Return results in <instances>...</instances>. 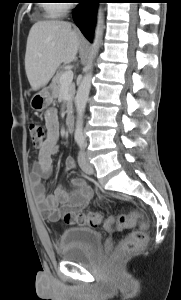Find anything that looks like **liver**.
I'll return each instance as SVG.
<instances>
[{
  "label": "liver",
  "instance_id": "6515ba94",
  "mask_svg": "<svg viewBox=\"0 0 181 300\" xmlns=\"http://www.w3.org/2000/svg\"><path fill=\"white\" fill-rule=\"evenodd\" d=\"M80 47L78 33L68 22L38 21L30 29L25 71L33 90L44 87L64 64L76 59Z\"/></svg>",
  "mask_w": 181,
  "mask_h": 300
}]
</instances>
